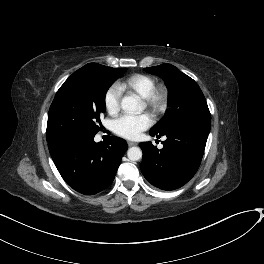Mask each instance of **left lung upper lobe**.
Here are the masks:
<instances>
[{"mask_svg": "<svg viewBox=\"0 0 264 264\" xmlns=\"http://www.w3.org/2000/svg\"><path fill=\"white\" fill-rule=\"evenodd\" d=\"M161 76L169 91V108L165 116L151 128L150 134L164 135L170 129L189 119H207L211 115L198 84L171 64L144 68Z\"/></svg>", "mask_w": 264, "mask_h": 264, "instance_id": "obj_1", "label": "left lung upper lobe"}]
</instances>
